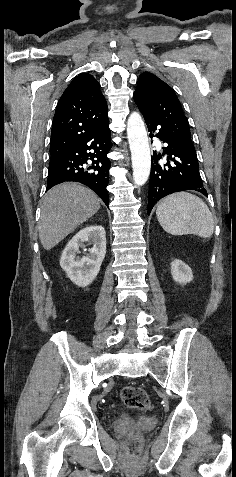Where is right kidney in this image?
Instances as JSON below:
<instances>
[{"label": "right kidney", "instance_id": "obj_1", "mask_svg": "<svg viewBox=\"0 0 236 477\" xmlns=\"http://www.w3.org/2000/svg\"><path fill=\"white\" fill-rule=\"evenodd\" d=\"M92 245L89 254L80 258V248ZM106 254V235L102 226H88L80 230L66 245L60 266L70 280L79 287L90 285L97 277Z\"/></svg>", "mask_w": 236, "mask_h": 477}]
</instances>
